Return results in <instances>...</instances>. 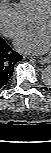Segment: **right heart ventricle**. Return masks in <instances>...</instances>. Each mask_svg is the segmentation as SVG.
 <instances>
[{"label":"right heart ventricle","instance_id":"right-heart-ventricle-1","mask_svg":"<svg viewBox=\"0 0 51 153\" xmlns=\"http://www.w3.org/2000/svg\"><path fill=\"white\" fill-rule=\"evenodd\" d=\"M50 5L51 0H19L18 2V6L29 20H34L41 11Z\"/></svg>","mask_w":51,"mask_h":153}]
</instances>
